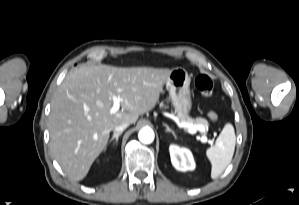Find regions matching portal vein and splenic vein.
I'll list each match as a JSON object with an SVG mask.
<instances>
[{"mask_svg":"<svg viewBox=\"0 0 299 205\" xmlns=\"http://www.w3.org/2000/svg\"><path fill=\"white\" fill-rule=\"evenodd\" d=\"M112 101H113V106L110 109V112L112 114H114V113H116V112L119 111L120 103L123 101V99L114 95L112 97ZM179 127L188 129L190 133H193L194 131H197V130L201 131V132L205 131V127L204 126L195 125V124L187 123V122L180 123ZM206 140H207V138L204 137V136L201 138V141H203V142L206 141Z\"/></svg>","mask_w":299,"mask_h":205,"instance_id":"1","label":"portal vein and splenic vein"}]
</instances>
